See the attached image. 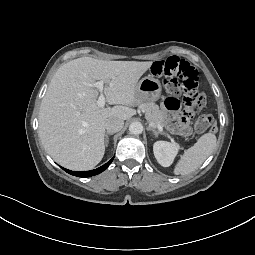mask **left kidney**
<instances>
[{
	"label": "left kidney",
	"mask_w": 255,
	"mask_h": 255,
	"mask_svg": "<svg viewBox=\"0 0 255 255\" xmlns=\"http://www.w3.org/2000/svg\"><path fill=\"white\" fill-rule=\"evenodd\" d=\"M179 149L178 144L167 141H157L153 145L154 156L163 167H169L173 163Z\"/></svg>",
	"instance_id": "obj_1"
}]
</instances>
